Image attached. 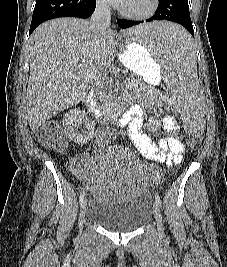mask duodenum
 Instances as JSON below:
<instances>
[{
	"label": "duodenum",
	"mask_w": 227,
	"mask_h": 267,
	"mask_svg": "<svg viewBox=\"0 0 227 267\" xmlns=\"http://www.w3.org/2000/svg\"><path fill=\"white\" fill-rule=\"evenodd\" d=\"M85 103L89 111L100 121H106L110 116L108 113L100 109L97 104L94 92H89L85 98Z\"/></svg>",
	"instance_id": "410a0bca"
}]
</instances>
